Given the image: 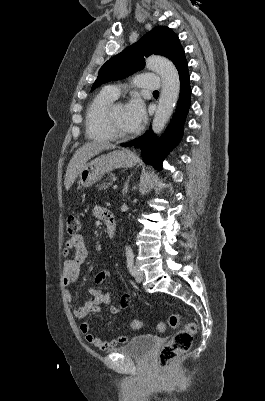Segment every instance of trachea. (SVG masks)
<instances>
[{"label": "trachea", "mask_w": 265, "mask_h": 401, "mask_svg": "<svg viewBox=\"0 0 265 401\" xmlns=\"http://www.w3.org/2000/svg\"><path fill=\"white\" fill-rule=\"evenodd\" d=\"M153 93H159L158 90H155Z\"/></svg>", "instance_id": "3493384b"}]
</instances>
